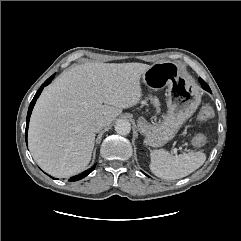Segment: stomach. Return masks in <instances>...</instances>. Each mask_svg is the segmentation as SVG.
Listing matches in <instances>:
<instances>
[{"label": "stomach", "mask_w": 241, "mask_h": 241, "mask_svg": "<svg viewBox=\"0 0 241 241\" xmlns=\"http://www.w3.org/2000/svg\"><path fill=\"white\" fill-rule=\"evenodd\" d=\"M146 86L154 90L167 88L168 111L158 123L138 120V130L144 135V144L161 147L171 141L182 124L192 116L201 102V95L193 81L184 74L180 64L157 62L142 75Z\"/></svg>", "instance_id": "1"}]
</instances>
